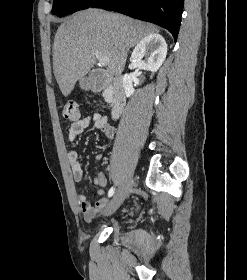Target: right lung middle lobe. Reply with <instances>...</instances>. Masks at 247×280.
Segmentation results:
<instances>
[{
  "mask_svg": "<svg viewBox=\"0 0 247 280\" xmlns=\"http://www.w3.org/2000/svg\"><path fill=\"white\" fill-rule=\"evenodd\" d=\"M99 0H54L52 13L61 17L87 9Z\"/></svg>",
  "mask_w": 247,
  "mask_h": 280,
  "instance_id": "1",
  "label": "right lung middle lobe"
}]
</instances>
